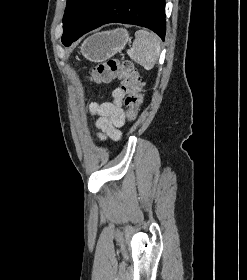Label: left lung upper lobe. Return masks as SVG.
<instances>
[{
    "label": "left lung upper lobe",
    "instance_id": "1",
    "mask_svg": "<svg viewBox=\"0 0 247 280\" xmlns=\"http://www.w3.org/2000/svg\"><path fill=\"white\" fill-rule=\"evenodd\" d=\"M101 0H67V6L63 17V37L75 33L90 11L100 2Z\"/></svg>",
    "mask_w": 247,
    "mask_h": 280
}]
</instances>
